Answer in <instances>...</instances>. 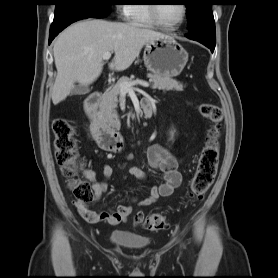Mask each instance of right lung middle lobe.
<instances>
[{"instance_id": "1", "label": "right lung middle lobe", "mask_w": 278, "mask_h": 278, "mask_svg": "<svg viewBox=\"0 0 278 278\" xmlns=\"http://www.w3.org/2000/svg\"><path fill=\"white\" fill-rule=\"evenodd\" d=\"M55 15L52 25L72 16L104 18L110 14L112 0H54Z\"/></svg>"}]
</instances>
